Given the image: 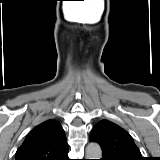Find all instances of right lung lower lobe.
<instances>
[{
  "label": "right lung lower lobe",
  "mask_w": 160,
  "mask_h": 160,
  "mask_svg": "<svg viewBox=\"0 0 160 160\" xmlns=\"http://www.w3.org/2000/svg\"><path fill=\"white\" fill-rule=\"evenodd\" d=\"M63 160H69L68 156L66 155L65 158Z\"/></svg>",
  "instance_id": "obj_1"
}]
</instances>
